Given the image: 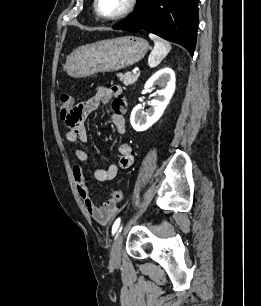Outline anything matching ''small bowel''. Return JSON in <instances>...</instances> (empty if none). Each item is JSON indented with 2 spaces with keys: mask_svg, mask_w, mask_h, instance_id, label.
<instances>
[{
  "mask_svg": "<svg viewBox=\"0 0 261 306\" xmlns=\"http://www.w3.org/2000/svg\"><path fill=\"white\" fill-rule=\"evenodd\" d=\"M112 103L111 118L119 133L125 132V102L122 97V88L119 85L111 87H99L94 96L86 101L76 105L70 115L64 119L68 130L65 133V139L75 145H82L88 141V133L85 121L100 104ZM119 160L111 164L107 169H96L94 177L100 182L113 180L119 170L129 168L134 161L132 147L128 142H122L117 147ZM74 157L84 163L88 160V154L81 148L73 150ZM74 180L78 194L91 218L100 225L107 224L116 214L117 202L112 199L105 201L102 205H97L87 187L82 167L75 164L72 168Z\"/></svg>",
  "mask_w": 261,
  "mask_h": 306,
  "instance_id": "1",
  "label": "small bowel"
}]
</instances>
